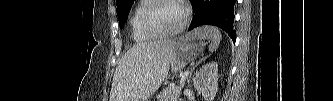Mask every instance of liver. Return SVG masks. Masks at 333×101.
Returning <instances> with one entry per match:
<instances>
[{
  "label": "liver",
  "instance_id": "6515ba94",
  "mask_svg": "<svg viewBox=\"0 0 333 101\" xmlns=\"http://www.w3.org/2000/svg\"><path fill=\"white\" fill-rule=\"evenodd\" d=\"M174 40L141 42L129 49L113 77L110 101H146L168 75Z\"/></svg>",
  "mask_w": 333,
  "mask_h": 101
}]
</instances>
